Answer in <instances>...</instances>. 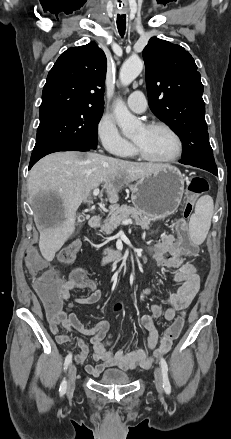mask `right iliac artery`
I'll return each mask as SVG.
<instances>
[{
	"instance_id": "82829eb1",
	"label": "right iliac artery",
	"mask_w": 231,
	"mask_h": 439,
	"mask_svg": "<svg viewBox=\"0 0 231 439\" xmlns=\"http://www.w3.org/2000/svg\"><path fill=\"white\" fill-rule=\"evenodd\" d=\"M71 361H72V354L70 353L65 358V362H64V369L65 370L68 368ZM66 389H67V382L65 379H63V381L61 382L60 388H59V392H60L61 396L65 394Z\"/></svg>"
}]
</instances>
